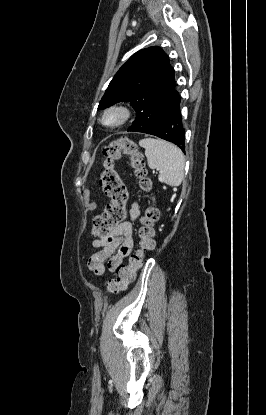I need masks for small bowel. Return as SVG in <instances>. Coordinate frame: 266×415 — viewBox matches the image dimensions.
<instances>
[{"label":"small bowel","instance_id":"obj_1","mask_svg":"<svg viewBox=\"0 0 266 415\" xmlns=\"http://www.w3.org/2000/svg\"><path fill=\"white\" fill-rule=\"evenodd\" d=\"M140 215L138 203H133L130 219L117 225L111 234L104 239H96L93 247L100 250L94 253L88 261V268L97 276H103L106 271H116L133 248V223Z\"/></svg>","mask_w":266,"mask_h":415}]
</instances>
